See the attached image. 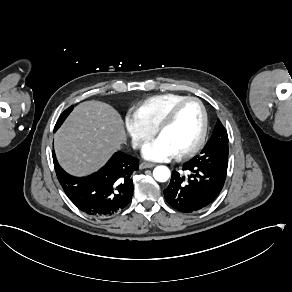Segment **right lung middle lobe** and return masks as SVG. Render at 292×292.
I'll use <instances>...</instances> for the list:
<instances>
[{"instance_id":"obj_1","label":"right lung middle lobe","mask_w":292,"mask_h":292,"mask_svg":"<svg viewBox=\"0 0 292 292\" xmlns=\"http://www.w3.org/2000/svg\"><path fill=\"white\" fill-rule=\"evenodd\" d=\"M73 106L69 107L67 110H65L61 116L59 117V119L57 120V123L55 125V129L54 131H56L64 122V120L66 119V117L69 115V113L72 111Z\"/></svg>"}]
</instances>
